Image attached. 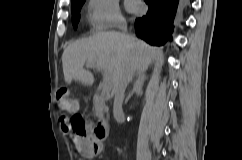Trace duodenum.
Here are the masks:
<instances>
[{"instance_id":"1","label":"duodenum","mask_w":242,"mask_h":160,"mask_svg":"<svg viewBox=\"0 0 242 160\" xmlns=\"http://www.w3.org/2000/svg\"><path fill=\"white\" fill-rule=\"evenodd\" d=\"M94 106L99 113H103L105 109L104 102L99 93L93 95ZM91 133L95 141L103 142L109 136V124L106 119L100 116L91 127Z\"/></svg>"}]
</instances>
